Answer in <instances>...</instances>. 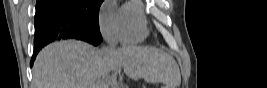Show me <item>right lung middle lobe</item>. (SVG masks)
Masks as SVG:
<instances>
[{"label":"right lung middle lobe","mask_w":267,"mask_h":88,"mask_svg":"<svg viewBox=\"0 0 267 88\" xmlns=\"http://www.w3.org/2000/svg\"><path fill=\"white\" fill-rule=\"evenodd\" d=\"M103 0H37L36 7L56 9L68 17L99 30V8Z\"/></svg>","instance_id":"right-lung-middle-lobe-1"}]
</instances>
